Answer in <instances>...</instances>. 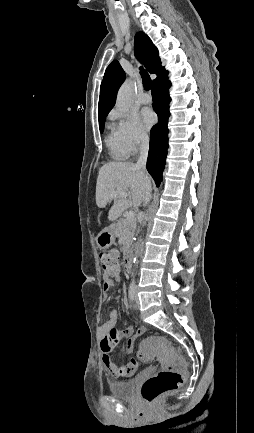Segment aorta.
I'll use <instances>...</instances> for the list:
<instances>
[{
	"label": "aorta",
	"instance_id": "aorta-1",
	"mask_svg": "<svg viewBox=\"0 0 254 433\" xmlns=\"http://www.w3.org/2000/svg\"><path fill=\"white\" fill-rule=\"evenodd\" d=\"M133 104L132 86L129 81H126L119 89L116 99V105L122 112L129 111Z\"/></svg>",
	"mask_w": 254,
	"mask_h": 433
}]
</instances>
